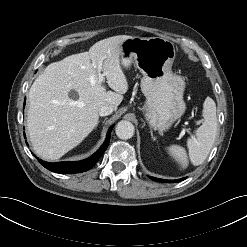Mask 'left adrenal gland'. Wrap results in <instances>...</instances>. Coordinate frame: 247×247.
Returning <instances> with one entry per match:
<instances>
[{
  "label": "left adrenal gland",
  "mask_w": 247,
  "mask_h": 247,
  "mask_svg": "<svg viewBox=\"0 0 247 247\" xmlns=\"http://www.w3.org/2000/svg\"><path fill=\"white\" fill-rule=\"evenodd\" d=\"M151 136L153 140H156V138L153 136V132L151 131Z\"/></svg>",
  "instance_id": "obj_1"
}]
</instances>
